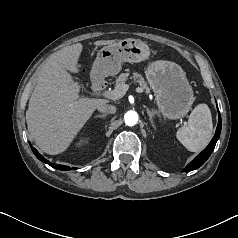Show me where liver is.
<instances>
[{
	"mask_svg": "<svg viewBox=\"0 0 238 238\" xmlns=\"http://www.w3.org/2000/svg\"><path fill=\"white\" fill-rule=\"evenodd\" d=\"M118 40H100L95 46L111 45ZM83 49L81 43L53 53L38 73L29 100L26 122L36 145L45 153L64 152L104 99L81 98L79 85L67 70L77 73Z\"/></svg>",
	"mask_w": 238,
	"mask_h": 238,
	"instance_id": "obj_1",
	"label": "liver"
}]
</instances>
